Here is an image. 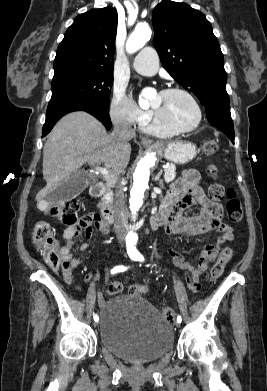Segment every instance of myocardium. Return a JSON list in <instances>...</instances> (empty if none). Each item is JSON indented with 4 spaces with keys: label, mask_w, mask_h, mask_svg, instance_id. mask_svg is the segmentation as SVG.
I'll return each instance as SVG.
<instances>
[{
    "label": "myocardium",
    "mask_w": 267,
    "mask_h": 391,
    "mask_svg": "<svg viewBox=\"0 0 267 391\" xmlns=\"http://www.w3.org/2000/svg\"><path fill=\"white\" fill-rule=\"evenodd\" d=\"M173 93L182 94L192 102V104L194 105L196 112H197V119H196L195 124L191 127H185V128L174 126V125L162 120L159 117V115L157 114V112L153 109L152 115H153L154 123L162 128L170 130L174 133H187V132H191V131L198 129L203 122V110H202V107H201L199 101L196 99V97L191 92H189L188 90L181 88V87H168V88H165L161 91V94H164V95L173 94Z\"/></svg>",
    "instance_id": "myocardium-1"
}]
</instances>
